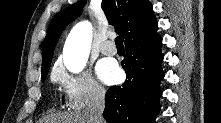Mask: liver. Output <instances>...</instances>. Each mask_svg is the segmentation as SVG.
I'll return each mask as SVG.
<instances>
[{"label":"liver","instance_id":"6515ba94","mask_svg":"<svg viewBox=\"0 0 221 123\" xmlns=\"http://www.w3.org/2000/svg\"><path fill=\"white\" fill-rule=\"evenodd\" d=\"M46 123H91L86 112H76L51 116Z\"/></svg>","mask_w":221,"mask_h":123}]
</instances>
